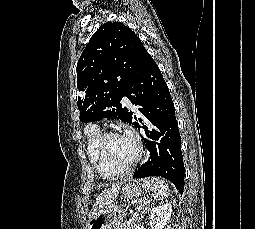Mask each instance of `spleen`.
Returning <instances> with one entry per match:
<instances>
[{
	"mask_svg": "<svg viewBox=\"0 0 255 229\" xmlns=\"http://www.w3.org/2000/svg\"><path fill=\"white\" fill-rule=\"evenodd\" d=\"M169 195V187L165 180L155 179V187L153 190V198L163 200Z\"/></svg>",
	"mask_w": 255,
	"mask_h": 229,
	"instance_id": "spleen-1",
	"label": "spleen"
}]
</instances>
